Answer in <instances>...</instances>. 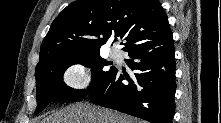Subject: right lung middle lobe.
Returning <instances> with one entry per match:
<instances>
[{
  "mask_svg": "<svg viewBox=\"0 0 221 123\" xmlns=\"http://www.w3.org/2000/svg\"><path fill=\"white\" fill-rule=\"evenodd\" d=\"M73 64H83L92 68V83L87 89L75 90L63 82V73ZM108 64L100 57L99 51H95L62 57L36 67L37 108L35 112H41L48 103L56 99H83L93 87L101 83L115 69L113 66L109 70L105 69Z\"/></svg>",
  "mask_w": 221,
  "mask_h": 123,
  "instance_id": "obj_1",
  "label": "right lung middle lobe"
}]
</instances>
